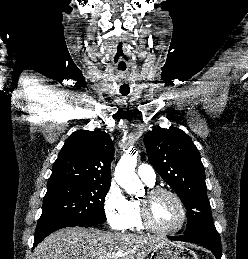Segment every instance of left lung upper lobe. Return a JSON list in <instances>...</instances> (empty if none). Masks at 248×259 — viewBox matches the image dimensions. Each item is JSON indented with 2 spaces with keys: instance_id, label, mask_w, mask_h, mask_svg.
Returning a JSON list of instances; mask_svg holds the SVG:
<instances>
[{
  "instance_id": "left-lung-upper-lobe-1",
  "label": "left lung upper lobe",
  "mask_w": 248,
  "mask_h": 259,
  "mask_svg": "<svg viewBox=\"0 0 248 259\" xmlns=\"http://www.w3.org/2000/svg\"><path fill=\"white\" fill-rule=\"evenodd\" d=\"M148 159L187 209L184 234L215 228L207 198L204 166L191 138L178 128L156 127L146 133Z\"/></svg>"
}]
</instances>
